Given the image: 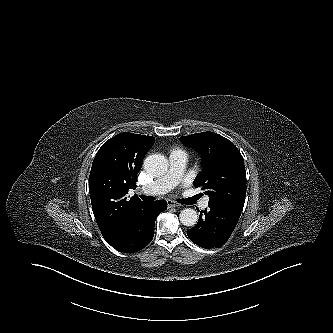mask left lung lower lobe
I'll return each instance as SVG.
<instances>
[{
  "mask_svg": "<svg viewBox=\"0 0 333 333\" xmlns=\"http://www.w3.org/2000/svg\"><path fill=\"white\" fill-rule=\"evenodd\" d=\"M201 211L198 223L187 230V235L195 244L203 248L220 247L231 236L240 215L213 203Z\"/></svg>",
  "mask_w": 333,
  "mask_h": 333,
  "instance_id": "left-lung-lower-lobe-1",
  "label": "left lung lower lobe"
}]
</instances>
